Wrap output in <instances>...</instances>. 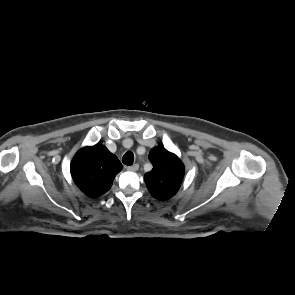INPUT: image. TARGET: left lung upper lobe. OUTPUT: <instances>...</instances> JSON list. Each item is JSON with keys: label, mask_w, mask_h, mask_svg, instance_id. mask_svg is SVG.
<instances>
[{"label": "left lung upper lobe", "mask_w": 295, "mask_h": 295, "mask_svg": "<svg viewBox=\"0 0 295 295\" xmlns=\"http://www.w3.org/2000/svg\"><path fill=\"white\" fill-rule=\"evenodd\" d=\"M149 159L153 169L144 176L151 195L161 201L172 198L179 190L184 177V165L173 153L162 146L151 149Z\"/></svg>", "instance_id": "left-lung-upper-lobe-1"}]
</instances>
